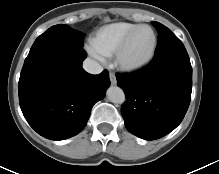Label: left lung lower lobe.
Wrapping results in <instances>:
<instances>
[{
    "label": "left lung lower lobe",
    "mask_w": 219,
    "mask_h": 174,
    "mask_svg": "<svg viewBox=\"0 0 219 174\" xmlns=\"http://www.w3.org/2000/svg\"><path fill=\"white\" fill-rule=\"evenodd\" d=\"M116 78L127 99L121 114L133 135L155 140L183 120L192 91V67L186 49L155 54L144 69L117 74Z\"/></svg>",
    "instance_id": "left-lung-lower-lobe-1"
}]
</instances>
